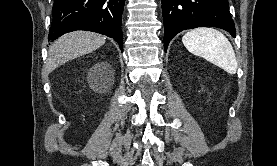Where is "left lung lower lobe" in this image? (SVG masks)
<instances>
[{"instance_id":"left-lung-lower-lobe-1","label":"left lung lower lobe","mask_w":277,"mask_h":166,"mask_svg":"<svg viewBox=\"0 0 277 166\" xmlns=\"http://www.w3.org/2000/svg\"><path fill=\"white\" fill-rule=\"evenodd\" d=\"M165 51L179 32L197 27H217L235 37L228 0H162Z\"/></svg>"}]
</instances>
